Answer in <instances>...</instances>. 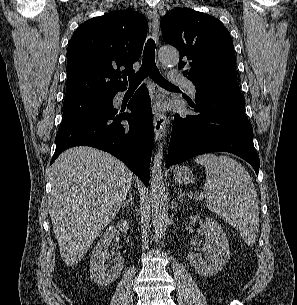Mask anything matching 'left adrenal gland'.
Wrapping results in <instances>:
<instances>
[{
    "mask_svg": "<svg viewBox=\"0 0 297 305\" xmlns=\"http://www.w3.org/2000/svg\"><path fill=\"white\" fill-rule=\"evenodd\" d=\"M185 195H187V194L185 192H183L182 189H180L179 193H178V200H180Z\"/></svg>",
    "mask_w": 297,
    "mask_h": 305,
    "instance_id": "left-adrenal-gland-1",
    "label": "left adrenal gland"
}]
</instances>
